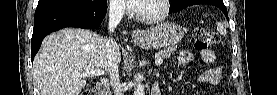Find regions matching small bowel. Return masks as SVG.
Wrapping results in <instances>:
<instances>
[{"mask_svg":"<svg viewBox=\"0 0 277 95\" xmlns=\"http://www.w3.org/2000/svg\"><path fill=\"white\" fill-rule=\"evenodd\" d=\"M202 61L206 64H214L215 54L212 50H204L197 53ZM194 54L190 51H181L177 57V63L183 66L193 60ZM223 71L220 67L210 68L206 73L201 76V80L204 82L216 83L222 77Z\"/></svg>","mask_w":277,"mask_h":95,"instance_id":"obj_1","label":"small bowel"}]
</instances>
